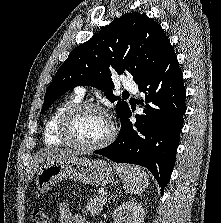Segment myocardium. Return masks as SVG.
<instances>
[{"label":"myocardium","instance_id":"f54148a6","mask_svg":"<svg viewBox=\"0 0 221 223\" xmlns=\"http://www.w3.org/2000/svg\"><path fill=\"white\" fill-rule=\"evenodd\" d=\"M86 110H94V111H98L102 113L107 118L110 125V130H109L108 135L104 139H102L100 142L93 145L78 143L71 137V134H70L72 121L79 113ZM116 133H117L116 126L111 116L108 114V112L102 106L95 103H90V102L76 103L70 106L69 108H67L60 118L58 129H57V135L59 139H61L67 145L71 146L73 149L78 150V151H83V152L97 151L110 145L115 139Z\"/></svg>","mask_w":221,"mask_h":223}]
</instances>
